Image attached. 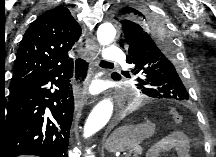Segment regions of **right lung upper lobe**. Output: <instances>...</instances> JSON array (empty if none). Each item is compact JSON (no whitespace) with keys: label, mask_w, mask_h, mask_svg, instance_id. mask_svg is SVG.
<instances>
[{"label":"right lung upper lobe","mask_w":216,"mask_h":157,"mask_svg":"<svg viewBox=\"0 0 216 157\" xmlns=\"http://www.w3.org/2000/svg\"><path fill=\"white\" fill-rule=\"evenodd\" d=\"M80 35L81 27L66 7H55L38 17L20 43L10 89L23 86L55 67L72 63L68 51Z\"/></svg>","instance_id":"right-lung-upper-lobe-1"}]
</instances>
